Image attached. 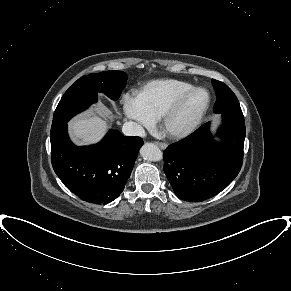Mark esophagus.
I'll list each match as a JSON object with an SVG mask.
<instances>
[{"label": "esophagus", "instance_id": "34e87169", "mask_svg": "<svg viewBox=\"0 0 291 291\" xmlns=\"http://www.w3.org/2000/svg\"><path fill=\"white\" fill-rule=\"evenodd\" d=\"M154 144L159 146L162 149H166L167 148V144L162 143V142L155 141Z\"/></svg>", "mask_w": 291, "mask_h": 291}]
</instances>
